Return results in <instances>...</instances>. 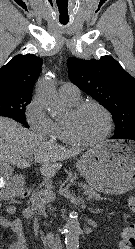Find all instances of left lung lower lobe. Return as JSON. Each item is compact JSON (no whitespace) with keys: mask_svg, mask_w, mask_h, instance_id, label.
I'll use <instances>...</instances> for the list:
<instances>
[{"mask_svg":"<svg viewBox=\"0 0 135 249\" xmlns=\"http://www.w3.org/2000/svg\"><path fill=\"white\" fill-rule=\"evenodd\" d=\"M112 139H131V140H135V130H132L129 133L123 135V136H113Z\"/></svg>","mask_w":135,"mask_h":249,"instance_id":"0a47b994","label":"left lung lower lobe"}]
</instances>
